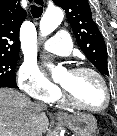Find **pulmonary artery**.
<instances>
[{
	"label": "pulmonary artery",
	"instance_id": "pulmonary-artery-1",
	"mask_svg": "<svg viewBox=\"0 0 117 136\" xmlns=\"http://www.w3.org/2000/svg\"><path fill=\"white\" fill-rule=\"evenodd\" d=\"M43 46L47 51L63 56L69 55L73 47L69 33L63 29H59Z\"/></svg>",
	"mask_w": 117,
	"mask_h": 136
}]
</instances>
